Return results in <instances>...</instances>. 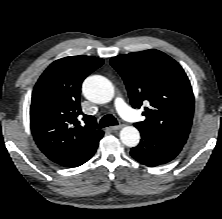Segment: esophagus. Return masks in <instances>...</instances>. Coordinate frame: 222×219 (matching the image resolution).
Here are the masks:
<instances>
[{
    "label": "esophagus",
    "mask_w": 222,
    "mask_h": 219,
    "mask_svg": "<svg viewBox=\"0 0 222 219\" xmlns=\"http://www.w3.org/2000/svg\"><path fill=\"white\" fill-rule=\"evenodd\" d=\"M123 124H120V125H117V126H112V127H110V129L111 130H119V129H121V128H123Z\"/></svg>",
    "instance_id": "obj_1"
}]
</instances>
